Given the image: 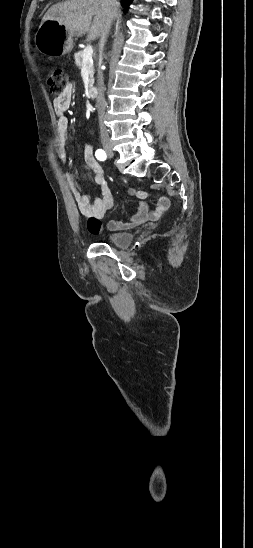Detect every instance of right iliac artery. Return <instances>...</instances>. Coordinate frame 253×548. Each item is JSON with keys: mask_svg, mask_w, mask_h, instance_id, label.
<instances>
[{"mask_svg": "<svg viewBox=\"0 0 253 548\" xmlns=\"http://www.w3.org/2000/svg\"><path fill=\"white\" fill-rule=\"evenodd\" d=\"M95 156H96V158H97L98 160H100V161H104V160H106V158H107V155H106L105 151L102 150V149L96 150Z\"/></svg>", "mask_w": 253, "mask_h": 548, "instance_id": "obj_1", "label": "right iliac artery"}]
</instances>
